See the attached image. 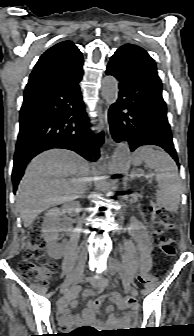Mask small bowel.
Returning a JSON list of instances; mask_svg holds the SVG:
<instances>
[{"label":"small bowel","mask_w":194,"mask_h":336,"mask_svg":"<svg viewBox=\"0 0 194 336\" xmlns=\"http://www.w3.org/2000/svg\"><path fill=\"white\" fill-rule=\"evenodd\" d=\"M130 233L135 241L138 257L134 260L137 263L143 273L149 272L151 268V248L152 243L146 226L139 220L134 219L130 225ZM104 289H111L110 285L106 280L100 279L95 283V290L96 292L100 293ZM92 291H87L84 293L85 296L91 295ZM114 300L117 303L122 305V298L121 296L115 292L110 291L108 295H101L94 300L89 301L87 308L84 310L83 313V321L88 324H92L94 321L95 311L107 300ZM76 305L74 295H71L65 298L61 302V309H60V320L61 322L66 325L70 326L73 324L80 323V318H73L69 314L70 308H73ZM107 312L109 314L108 321L109 323H114L118 320L117 315L114 313V309L112 306L107 308Z\"/></svg>","instance_id":"small-bowel-1"}]
</instances>
